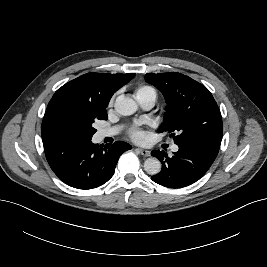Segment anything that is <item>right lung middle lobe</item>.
I'll return each mask as SVG.
<instances>
[{
	"instance_id": "1",
	"label": "right lung middle lobe",
	"mask_w": 267,
	"mask_h": 267,
	"mask_svg": "<svg viewBox=\"0 0 267 267\" xmlns=\"http://www.w3.org/2000/svg\"><path fill=\"white\" fill-rule=\"evenodd\" d=\"M106 113L66 106L60 109L55 119L56 133L70 138H92L96 120H106Z\"/></svg>"
}]
</instances>
